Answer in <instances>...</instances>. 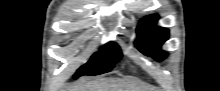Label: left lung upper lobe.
Returning a JSON list of instances; mask_svg holds the SVG:
<instances>
[{
	"label": "left lung upper lobe",
	"mask_w": 220,
	"mask_h": 91,
	"mask_svg": "<svg viewBox=\"0 0 220 91\" xmlns=\"http://www.w3.org/2000/svg\"><path fill=\"white\" fill-rule=\"evenodd\" d=\"M157 20V15H150L140 21L137 28L138 41L136 44L145 55L161 60L166 56V53L160 48L168 39L169 31L166 28L155 26Z\"/></svg>",
	"instance_id": "left-lung-upper-lobe-1"
}]
</instances>
